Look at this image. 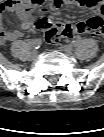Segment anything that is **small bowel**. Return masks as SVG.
<instances>
[{
    "label": "small bowel",
    "mask_w": 104,
    "mask_h": 137,
    "mask_svg": "<svg viewBox=\"0 0 104 137\" xmlns=\"http://www.w3.org/2000/svg\"><path fill=\"white\" fill-rule=\"evenodd\" d=\"M52 5L50 9L54 10L58 7L71 4L74 6L85 7L91 9L95 16L101 17L104 13V4L102 0H50ZM44 0H7L0 7V12L2 14L7 12H16L18 19L20 21V26L22 29H29L31 26L35 25L37 27V23L40 20H45L46 24H53L50 19L46 17V13L48 9H43L41 16L35 18L33 16V11L35 8L42 5ZM91 19V18H90ZM90 19L80 20L75 23L66 24L63 26H69L73 30L77 31V33H85L84 28L87 27V23ZM1 28L4 30V38L3 41H13L22 36V32L18 30H6V23L2 19L1 20ZM91 34V33H90Z\"/></svg>",
    "instance_id": "obj_1"
}]
</instances>
